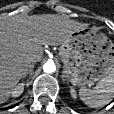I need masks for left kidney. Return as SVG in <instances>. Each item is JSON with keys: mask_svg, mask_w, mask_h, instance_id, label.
Segmentation results:
<instances>
[{"mask_svg": "<svg viewBox=\"0 0 114 114\" xmlns=\"http://www.w3.org/2000/svg\"><path fill=\"white\" fill-rule=\"evenodd\" d=\"M70 94L73 99H76V91L72 87H70Z\"/></svg>", "mask_w": 114, "mask_h": 114, "instance_id": "obj_1", "label": "left kidney"}]
</instances>
